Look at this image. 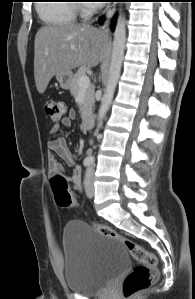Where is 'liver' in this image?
<instances>
[{
    "label": "liver",
    "mask_w": 195,
    "mask_h": 299,
    "mask_svg": "<svg viewBox=\"0 0 195 299\" xmlns=\"http://www.w3.org/2000/svg\"><path fill=\"white\" fill-rule=\"evenodd\" d=\"M109 48L108 37L90 25L65 23L41 27L34 42V78L43 94L54 75L96 66Z\"/></svg>",
    "instance_id": "liver-1"
}]
</instances>
